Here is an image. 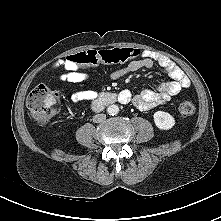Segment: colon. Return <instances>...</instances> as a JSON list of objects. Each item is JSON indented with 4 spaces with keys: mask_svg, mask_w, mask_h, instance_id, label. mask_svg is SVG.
Wrapping results in <instances>:
<instances>
[{
    "mask_svg": "<svg viewBox=\"0 0 221 221\" xmlns=\"http://www.w3.org/2000/svg\"><path fill=\"white\" fill-rule=\"evenodd\" d=\"M140 55L136 48H114L108 50L89 49L70 55L67 62L75 67H92L101 63L119 64L131 61ZM60 96L45 85L36 86L27 98V107L37 124H45L53 118L59 109ZM184 117L195 113V106L190 102H182L178 107Z\"/></svg>",
    "mask_w": 221,
    "mask_h": 221,
    "instance_id": "colon-1",
    "label": "colon"
}]
</instances>
